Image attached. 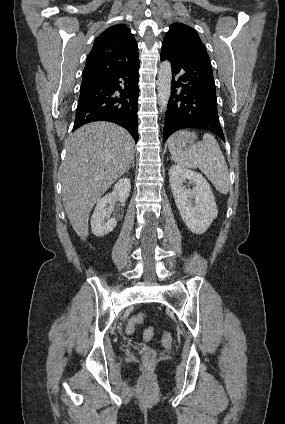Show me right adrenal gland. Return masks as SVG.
I'll return each mask as SVG.
<instances>
[{
  "instance_id": "obj_1",
  "label": "right adrenal gland",
  "mask_w": 285,
  "mask_h": 424,
  "mask_svg": "<svg viewBox=\"0 0 285 424\" xmlns=\"http://www.w3.org/2000/svg\"><path fill=\"white\" fill-rule=\"evenodd\" d=\"M131 167H135V164H134V158L132 159L131 164H130V165H129V167L127 168L126 173H128V172H129V170H130V168H131Z\"/></svg>"
}]
</instances>
